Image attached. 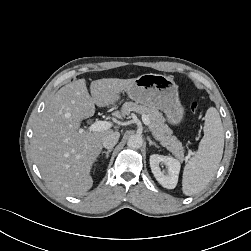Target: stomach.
Wrapping results in <instances>:
<instances>
[{"label":"stomach","instance_id":"obj_1","mask_svg":"<svg viewBox=\"0 0 251 251\" xmlns=\"http://www.w3.org/2000/svg\"><path fill=\"white\" fill-rule=\"evenodd\" d=\"M125 91L136 103L163 111L172 125H179L184 120L185 109L179 100L178 86L169 76L143 74Z\"/></svg>","mask_w":251,"mask_h":251}]
</instances>
